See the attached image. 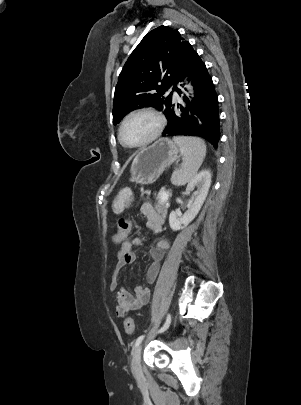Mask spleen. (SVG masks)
I'll list each match as a JSON object with an SVG mask.
<instances>
[{
    "label": "spleen",
    "instance_id": "obj_1",
    "mask_svg": "<svg viewBox=\"0 0 301 405\" xmlns=\"http://www.w3.org/2000/svg\"><path fill=\"white\" fill-rule=\"evenodd\" d=\"M179 146L183 162L180 170L172 175V183L181 186L189 182L199 170L206 155L205 142L197 137L177 136L173 138ZM131 191L128 188L121 190L113 202V211L121 213L128 204Z\"/></svg>",
    "mask_w": 301,
    "mask_h": 405
}]
</instances>
